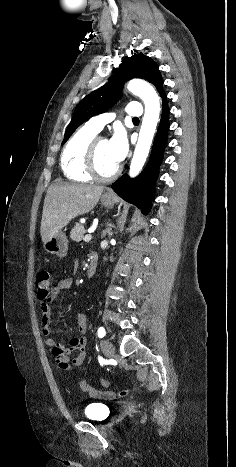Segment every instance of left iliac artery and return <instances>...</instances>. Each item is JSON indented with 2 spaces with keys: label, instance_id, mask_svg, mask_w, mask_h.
<instances>
[{
  "label": "left iliac artery",
  "instance_id": "obj_1",
  "mask_svg": "<svg viewBox=\"0 0 236 467\" xmlns=\"http://www.w3.org/2000/svg\"><path fill=\"white\" fill-rule=\"evenodd\" d=\"M97 334H98L99 338H103L105 336V334H106V331H105L104 327H99L98 331H97Z\"/></svg>",
  "mask_w": 236,
  "mask_h": 467
}]
</instances>
